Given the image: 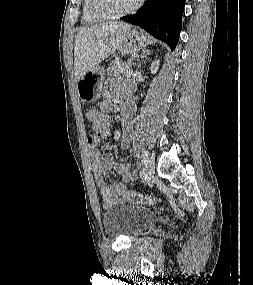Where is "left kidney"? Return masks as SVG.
I'll return each mask as SVG.
<instances>
[{
  "label": "left kidney",
  "instance_id": "obj_1",
  "mask_svg": "<svg viewBox=\"0 0 253 285\" xmlns=\"http://www.w3.org/2000/svg\"><path fill=\"white\" fill-rule=\"evenodd\" d=\"M159 60H154L151 64L150 71L152 74H156L158 71Z\"/></svg>",
  "mask_w": 253,
  "mask_h": 285
}]
</instances>
